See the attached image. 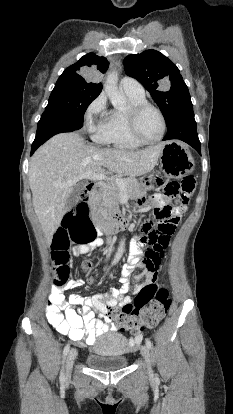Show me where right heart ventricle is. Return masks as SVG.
Masks as SVG:
<instances>
[{
	"label": "right heart ventricle",
	"instance_id": "e07e8e85",
	"mask_svg": "<svg viewBox=\"0 0 233 414\" xmlns=\"http://www.w3.org/2000/svg\"><path fill=\"white\" fill-rule=\"evenodd\" d=\"M132 105L146 102L145 95L137 96L125 93ZM105 143L118 149H137L143 144L137 141L129 132L126 122V111L113 109L106 120L105 127Z\"/></svg>",
	"mask_w": 233,
	"mask_h": 414
}]
</instances>
